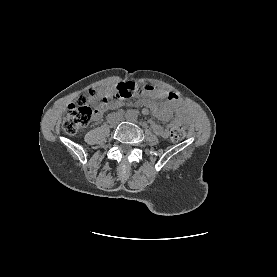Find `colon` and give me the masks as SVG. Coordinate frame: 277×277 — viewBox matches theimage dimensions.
Instances as JSON below:
<instances>
[{"mask_svg": "<svg viewBox=\"0 0 277 277\" xmlns=\"http://www.w3.org/2000/svg\"><path fill=\"white\" fill-rule=\"evenodd\" d=\"M139 91L136 84L131 82L119 84L113 93L99 95L90 92L87 96H80L72 103L63 119L62 128L68 135H74L88 125L95 109L107 107L113 100L127 99ZM172 140L180 141L185 137V128L181 123H175L171 132Z\"/></svg>", "mask_w": 277, "mask_h": 277, "instance_id": "obj_1", "label": "colon"}]
</instances>
